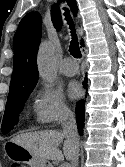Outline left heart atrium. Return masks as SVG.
<instances>
[{"label": "left heart atrium", "mask_w": 125, "mask_h": 167, "mask_svg": "<svg viewBox=\"0 0 125 167\" xmlns=\"http://www.w3.org/2000/svg\"><path fill=\"white\" fill-rule=\"evenodd\" d=\"M67 91H68V95L72 99H77L78 97H80L82 93V89L76 81H72L69 83Z\"/></svg>", "instance_id": "39dd6f15"}]
</instances>
